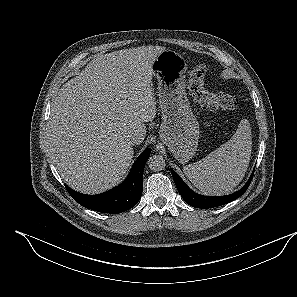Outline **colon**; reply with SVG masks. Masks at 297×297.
I'll return each instance as SVG.
<instances>
[{
  "label": "colon",
  "mask_w": 297,
  "mask_h": 297,
  "mask_svg": "<svg viewBox=\"0 0 297 297\" xmlns=\"http://www.w3.org/2000/svg\"><path fill=\"white\" fill-rule=\"evenodd\" d=\"M207 66L196 65L189 74V90L192 96L206 109L217 111H230L237 107L235 96L228 93H211L205 87Z\"/></svg>",
  "instance_id": "obj_1"
}]
</instances>
